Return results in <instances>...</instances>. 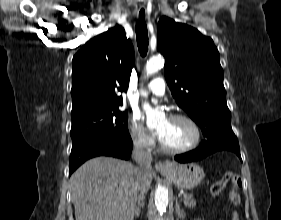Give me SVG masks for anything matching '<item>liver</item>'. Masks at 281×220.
I'll use <instances>...</instances> for the list:
<instances>
[{
    "label": "liver",
    "mask_w": 281,
    "mask_h": 220,
    "mask_svg": "<svg viewBox=\"0 0 281 220\" xmlns=\"http://www.w3.org/2000/svg\"><path fill=\"white\" fill-rule=\"evenodd\" d=\"M136 167L112 157L86 161L70 178L76 220H133ZM152 176L149 177L151 184Z\"/></svg>",
    "instance_id": "6515ba94"
}]
</instances>
